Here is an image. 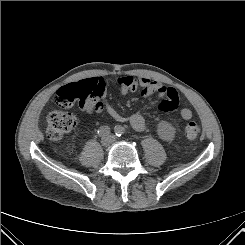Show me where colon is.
<instances>
[{"mask_svg":"<svg viewBox=\"0 0 245 245\" xmlns=\"http://www.w3.org/2000/svg\"><path fill=\"white\" fill-rule=\"evenodd\" d=\"M97 84L91 79L67 84L57 91V102L62 108L51 111L48 115L47 134L50 139L58 140L71 132L76 124V116L65 110L74 102L83 105L88 99L98 95ZM200 133V127L196 122H189L184 128V134L188 139H195Z\"/></svg>","mask_w":245,"mask_h":245,"instance_id":"colon-1","label":"colon"}]
</instances>
